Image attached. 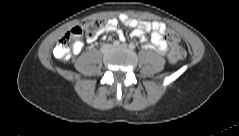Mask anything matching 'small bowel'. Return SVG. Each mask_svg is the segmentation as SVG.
I'll return each instance as SVG.
<instances>
[{
  "label": "small bowel",
  "instance_id": "obj_1",
  "mask_svg": "<svg viewBox=\"0 0 239 136\" xmlns=\"http://www.w3.org/2000/svg\"><path fill=\"white\" fill-rule=\"evenodd\" d=\"M119 23L131 28V36L141 38L146 47H150L159 53H166L168 50V43L164 38L166 32V25L162 22H139L135 19L128 17L127 15H120L118 19L113 18L108 20L101 32H113L117 30ZM151 32L150 39L146 37V33ZM117 35L119 40L124 41L126 39L125 34L118 30ZM95 38H88L87 43H92Z\"/></svg>",
  "mask_w": 239,
  "mask_h": 136
}]
</instances>
